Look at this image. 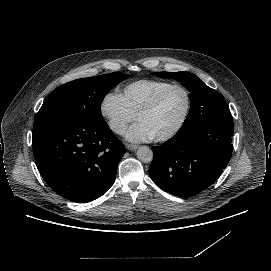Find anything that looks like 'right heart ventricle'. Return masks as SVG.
Segmentation results:
<instances>
[{
  "label": "right heart ventricle",
  "mask_w": 271,
  "mask_h": 271,
  "mask_svg": "<svg viewBox=\"0 0 271 271\" xmlns=\"http://www.w3.org/2000/svg\"><path fill=\"white\" fill-rule=\"evenodd\" d=\"M172 82L161 79H139L121 88V98L127 109L136 116L153 97Z\"/></svg>",
  "instance_id": "e07e8e85"
}]
</instances>
